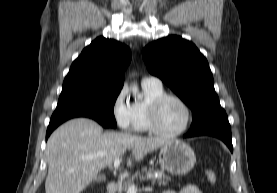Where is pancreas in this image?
I'll return each instance as SVG.
<instances>
[{"mask_svg":"<svg viewBox=\"0 0 277 193\" xmlns=\"http://www.w3.org/2000/svg\"><path fill=\"white\" fill-rule=\"evenodd\" d=\"M146 178L150 179L153 184L157 181L159 185L163 186L170 180L163 170L143 167L141 170L135 172L131 178L118 184L120 193L126 192L129 186L133 184L134 180H144Z\"/></svg>","mask_w":277,"mask_h":193,"instance_id":"1","label":"pancreas"}]
</instances>
